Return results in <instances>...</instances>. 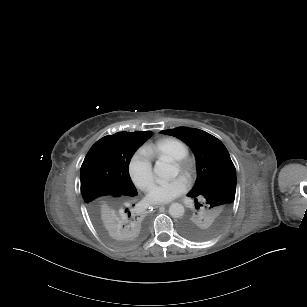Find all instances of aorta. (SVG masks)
I'll return each instance as SVG.
<instances>
[{
  "mask_svg": "<svg viewBox=\"0 0 307 307\" xmlns=\"http://www.w3.org/2000/svg\"><path fill=\"white\" fill-rule=\"evenodd\" d=\"M154 174L163 180H171L177 177L179 169L170 164L166 159H160L156 161L154 168ZM185 209L182 204L173 203L169 207V214L173 218H181L184 215Z\"/></svg>",
  "mask_w": 307,
  "mask_h": 307,
  "instance_id": "762f6f07",
  "label": "aorta"
}]
</instances>
